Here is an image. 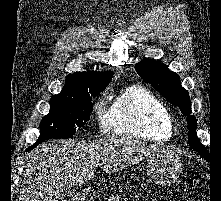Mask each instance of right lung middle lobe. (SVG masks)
<instances>
[{
  "instance_id": "1",
  "label": "right lung middle lobe",
  "mask_w": 221,
  "mask_h": 201,
  "mask_svg": "<svg viewBox=\"0 0 221 201\" xmlns=\"http://www.w3.org/2000/svg\"><path fill=\"white\" fill-rule=\"evenodd\" d=\"M100 92L81 97L53 96L50 100V111L40 123L37 142L52 138H71L76 128L84 126L89 120L93 109L92 96Z\"/></svg>"
}]
</instances>
